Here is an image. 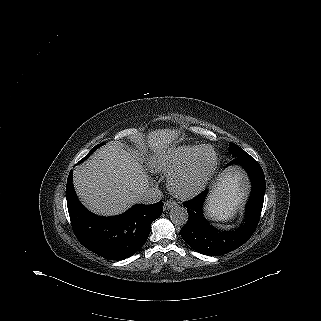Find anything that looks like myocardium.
<instances>
[{
  "label": "myocardium",
  "instance_id": "obj_1",
  "mask_svg": "<svg viewBox=\"0 0 321 321\" xmlns=\"http://www.w3.org/2000/svg\"><path fill=\"white\" fill-rule=\"evenodd\" d=\"M204 150H210L213 156V161L208 172L196 185L189 188L180 187V182L186 178H189L195 172L198 163V158ZM217 163V154L214 148L210 145H201L185 166L174 171L169 175L168 188L170 192L179 198H190L197 195L200 191L204 189V187L213 177L217 168Z\"/></svg>",
  "mask_w": 321,
  "mask_h": 321
}]
</instances>
